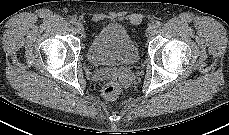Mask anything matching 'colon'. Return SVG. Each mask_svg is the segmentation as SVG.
Returning <instances> with one entry per match:
<instances>
[{
    "mask_svg": "<svg viewBox=\"0 0 229 135\" xmlns=\"http://www.w3.org/2000/svg\"><path fill=\"white\" fill-rule=\"evenodd\" d=\"M120 91V85L117 82H111L104 86L101 94L104 99L111 101L119 95Z\"/></svg>",
    "mask_w": 229,
    "mask_h": 135,
    "instance_id": "colon-1",
    "label": "colon"
}]
</instances>
